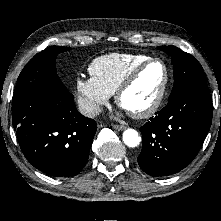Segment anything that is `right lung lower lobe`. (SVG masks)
<instances>
[{"mask_svg":"<svg viewBox=\"0 0 221 221\" xmlns=\"http://www.w3.org/2000/svg\"><path fill=\"white\" fill-rule=\"evenodd\" d=\"M12 103L13 126L27 160L51 176L77 175L88 160L97 127L78 112L73 95L67 89L42 88Z\"/></svg>","mask_w":221,"mask_h":221,"instance_id":"1","label":"right lung lower lobe"}]
</instances>
